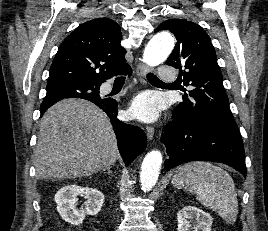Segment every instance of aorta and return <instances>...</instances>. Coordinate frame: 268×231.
Listing matches in <instances>:
<instances>
[{"label": "aorta", "instance_id": "762f6f07", "mask_svg": "<svg viewBox=\"0 0 268 231\" xmlns=\"http://www.w3.org/2000/svg\"><path fill=\"white\" fill-rule=\"evenodd\" d=\"M175 45L174 38L167 32L156 34L147 43L143 61L153 67L164 62ZM163 156L158 150L146 154L141 165L140 183L144 192L150 191L156 184L162 165Z\"/></svg>", "mask_w": 268, "mask_h": 231}]
</instances>
